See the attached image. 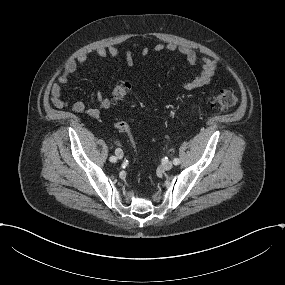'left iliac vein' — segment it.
Instances as JSON below:
<instances>
[{"label": "left iliac vein", "instance_id": "4c4485c4", "mask_svg": "<svg viewBox=\"0 0 285 285\" xmlns=\"http://www.w3.org/2000/svg\"><path fill=\"white\" fill-rule=\"evenodd\" d=\"M173 167V163L171 161H166L162 164V168L164 170H170Z\"/></svg>", "mask_w": 285, "mask_h": 285}]
</instances>
